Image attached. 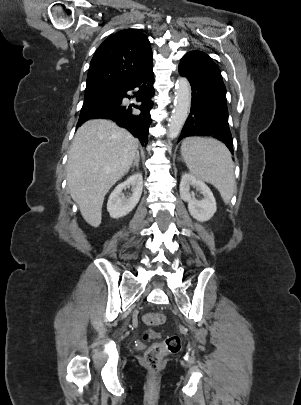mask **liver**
Masks as SVG:
<instances>
[{"label":"liver","mask_w":301,"mask_h":405,"mask_svg":"<svg viewBox=\"0 0 301 405\" xmlns=\"http://www.w3.org/2000/svg\"><path fill=\"white\" fill-rule=\"evenodd\" d=\"M138 144L109 120H89L78 128L67 161V186L91 226L100 225L104 197L129 171Z\"/></svg>","instance_id":"1"}]
</instances>
